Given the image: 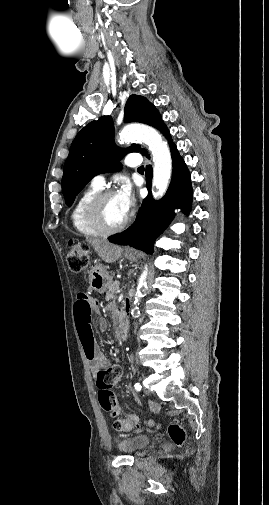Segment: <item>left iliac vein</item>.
<instances>
[{"instance_id":"4c4485c4","label":"left iliac vein","mask_w":269,"mask_h":505,"mask_svg":"<svg viewBox=\"0 0 269 505\" xmlns=\"http://www.w3.org/2000/svg\"><path fill=\"white\" fill-rule=\"evenodd\" d=\"M149 405H150V410L152 412H159V405L157 403L152 401V402H150Z\"/></svg>"}]
</instances>
